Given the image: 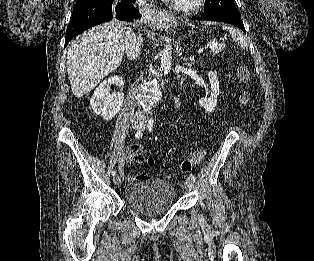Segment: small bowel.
<instances>
[{"mask_svg":"<svg viewBox=\"0 0 314 261\" xmlns=\"http://www.w3.org/2000/svg\"><path fill=\"white\" fill-rule=\"evenodd\" d=\"M143 154V150L142 147L140 145H134L131 146L120 158V166H121V170L124 173V167L126 164L130 163V162H137V158L139 155ZM165 176L167 178H170V174L165 172ZM137 177L134 175H130L128 176V179L130 180H135Z\"/></svg>","mask_w":314,"mask_h":261,"instance_id":"1","label":"small bowel"}]
</instances>
